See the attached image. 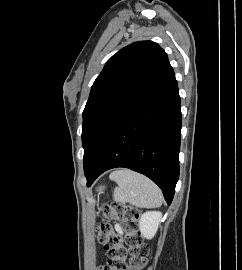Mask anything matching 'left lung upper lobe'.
<instances>
[{
  "label": "left lung upper lobe",
  "instance_id": "1",
  "mask_svg": "<svg viewBox=\"0 0 242 270\" xmlns=\"http://www.w3.org/2000/svg\"><path fill=\"white\" fill-rule=\"evenodd\" d=\"M172 69L167 54L152 41L132 43L105 64L83 111L84 172L118 122L140 104Z\"/></svg>",
  "mask_w": 242,
  "mask_h": 270
}]
</instances>
